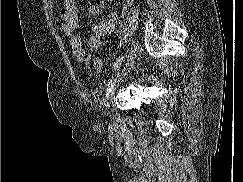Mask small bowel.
<instances>
[{"label": "small bowel", "mask_w": 243, "mask_h": 182, "mask_svg": "<svg viewBox=\"0 0 243 182\" xmlns=\"http://www.w3.org/2000/svg\"><path fill=\"white\" fill-rule=\"evenodd\" d=\"M107 1L114 2L115 0ZM100 11L101 8L97 4H91L88 9L89 14L92 16H97ZM60 15L62 18V31L69 39L75 59L86 65L91 60V52L98 49L101 39L113 31L117 19L116 14H111L108 18L94 24L92 26L93 34L89 37L85 47L80 35L77 33L81 23L77 0H62Z\"/></svg>", "instance_id": "1"}]
</instances>
